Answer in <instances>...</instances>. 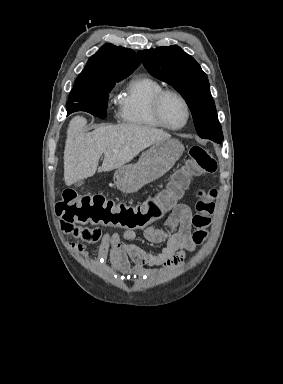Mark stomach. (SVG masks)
Returning a JSON list of instances; mask_svg holds the SVG:
<instances>
[{
    "instance_id": "stomach-1",
    "label": "stomach",
    "mask_w": 283,
    "mask_h": 384,
    "mask_svg": "<svg viewBox=\"0 0 283 384\" xmlns=\"http://www.w3.org/2000/svg\"><path fill=\"white\" fill-rule=\"evenodd\" d=\"M183 152V144L173 138L156 142L147 152H142L137 164H126L116 170L114 182L118 190L123 194L138 192L145 184H150L169 172Z\"/></svg>"
}]
</instances>
